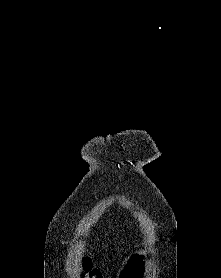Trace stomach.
Returning <instances> with one entry per match:
<instances>
[{
	"mask_svg": "<svg viewBox=\"0 0 221 278\" xmlns=\"http://www.w3.org/2000/svg\"><path fill=\"white\" fill-rule=\"evenodd\" d=\"M144 254L143 251L130 254L132 261H128V264H121V269H129L120 270L122 278H144V275H146V270H144L146 269V264H142V262H150V257H140L144 256Z\"/></svg>",
	"mask_w": 221,
	"mask_h": 278,
	"instance_id": "1",
	"label": "stomach"
}]
</instances>
